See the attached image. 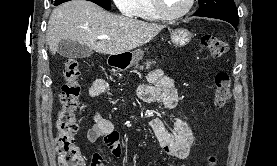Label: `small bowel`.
Masks as SVG:
<instances>
[{
	"instance_id": "small-bowel-1",
	"label": "small bowel",
	"mask_w": 277,
	"mask_h": 166,
	"mask_svg": "<svg viewBox=\"0 0 277 166\" xmlns=\"http://www.w3.org/2000/svg\"><path fill=\"white\" fill-rule=\"evenodd\" d=\"M149 84L139 90V97L146 103H161L166 108L173 109L177 106L179 95L171 78L166 76L162 70H153L148 75ZM108 90V83L102 79H96L89 89V94L97 98ZM150 127L164 153L177 161L185 160L192 148L194 134L187 121L178 119L172 130L168 129L162 119L156 117L151 119ZM100 138H104L107 147L115 157L121 156V145L119 134L114 125L101 113L94 115V124L87 131L86 139L89 144H94ZM91 166H104L103 157L100 153H93ZM178 166H184L179 164Z\"/></svg>"
}]
</instances>
